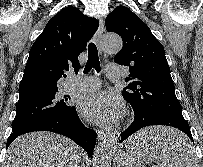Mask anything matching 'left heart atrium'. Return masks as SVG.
Returning a JSON list of instances; mask_svg holds the SVG:
<instances>
[{
  "mask_svg": "<svg viewBox=\"0 0 203 167\" xmlns=\"http://www.w3.org/2000/svg\"><path fill=\"white\" fill-rule=\"evenodd\" d=\"M79 110L88 120L99 125H109L121 117L123 103L111 92L98 91L83 96Z\"/></svg>",
  "mask_w": 203,
  "mask_h": 167,
  "instance_id": "1",
  "label": "left heart atrium"
}]
</instances>
